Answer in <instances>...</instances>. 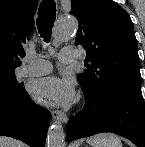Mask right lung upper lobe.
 <instances>
[{"label": "right lung upper lobe", "mask_w": 145, "mask_h": 147, "mask_svg": "<svg viewBox=\"0 0 145 147\" xmlns=\"http://www.w3.org/2000/svg\"><path fill=\"white\" fill-rule=\"evenodd\" d=\"M37 0H0V74H14L34 26Z\"/></svg>", "instance_id": "1"}]
</instances>
